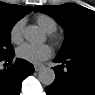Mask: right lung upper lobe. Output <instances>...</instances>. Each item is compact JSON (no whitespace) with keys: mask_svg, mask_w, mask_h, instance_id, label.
<instances>
[{"mask_svg":"<svg viewBox=\"0 0 95 95\" xmlns=\"http://www.w3.org/2000/svg\"><path fill=\"white\" fill-rule=\"evenodd\" d=\"M30 10H31V7H28V6H19V5H13V4H7V3H0V14H5V13L26 14Z\"/></svg>","mask_w":95,"mask_h":95,"instance_id":"right-lung-upper-lobe-1","label":"right lung upper lobe"}]
</instances>
